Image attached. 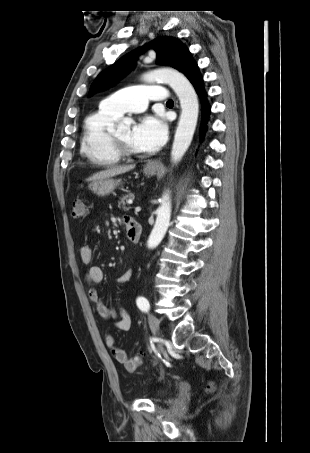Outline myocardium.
I'll return each mask as SVG.
<instances>
[{
	"label": "myocardium",
	"mask_w": 310,
	"mask_h": 453,
	"mask_svg": "<svg viewBox=\"0 0 310 453\" xmlns=\"http://www.w3.org/2000/svg\"><path fill=\"white\" fill-rule=\"evenodd\" d=\"M110 145L113 150L120 156L122 159H130L140 157L141 154L129 148L125 143H123L116 135L115 131L110 132L109 137Z\"/></svg>",
	"instance_id": "f54148a6"
}]
</instances>
